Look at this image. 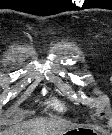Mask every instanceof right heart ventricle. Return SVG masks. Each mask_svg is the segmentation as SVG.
<instances>
[{
    "instance_id": "1",
    "label": "right heart ventricle",
    "mask_w": 112,
    "mask_h": 135,
    "mask_svg": "<svg viewBox=\"0 0 112 135\" xmlns=\"http://www.w3.org/2000/svg\"><path fill=\"white\" fill-rule=\"evenodd\" d=\"M50 106L59 113H67L69 112L68 107L59 99H52L50 101Z\"/></svg>"
}]
</instances>
